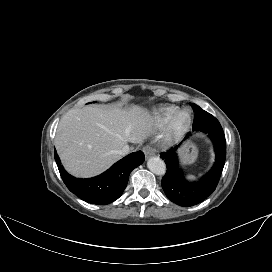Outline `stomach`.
Listing matches in <instances>:
<instances>
[{
  "instance_id": "obj_1",
  "label": "stomach",
  "mask_w": 272,
  "mask_h": 272,
  "mask_svg": "<svg viewBox=\"0 0 272 272\" xmlns=\"http://www.w3.org/2000/svg\"><path fill=\"white\" fill-rule=\"evenodd\" d=\"M179 155L184 164H193L198 157V149L193 143H186L179 150Z\"/></svg>"
}]
</instances>
